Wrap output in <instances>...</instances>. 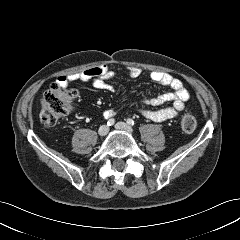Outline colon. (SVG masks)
Listing matches in <instances>:
<instances>
[{"label":"colon","mask_w":240,"mask_h":240,"mask_svg":"<svg viewBox=\"0 0 240 240\" xmlns=\"http://www.w3.org/2000/svg\"><path fill=\"white\" fill-rule=\"evenodd\" d=\"M77 99V92L61 86H53L47 90L42 98L40 119L46 126H54L59 120L70 114ZM196 119L193 115L185 113L181 116L180 126L186 133L196 129Z\"/></svg>","instance_id":"5ec220e1"}]
</instances>
